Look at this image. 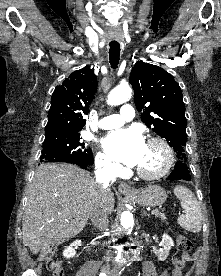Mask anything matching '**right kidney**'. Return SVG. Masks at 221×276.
<instances>
[{"instance_id":"ca27d5eb","label":"right kidney","mask_w":221,"mask_h":276,"mask_svg":"<svg viewBox=\"0 0 221 276\" xmlns=\"http://www.w3.org/2000/svg\"><path fill=\"white\" fill-rule=\"evenodd\" d=\"M78 246H81V241L80 240H76L73 243L70 244L69 247H66V249L63 251V256L66 258H72L76 255L75 252V248H77Z\"/></svg>"}]
</instances>
